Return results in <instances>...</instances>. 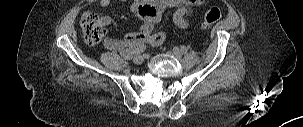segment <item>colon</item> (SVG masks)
<instances>
[{
  "mask_svg": "<svg viewBox=\"0 0 303 127\" xmlns=\"http://www.w3.org/2000/svg\"><path fill=\"white\" fill-rule=\"evenodd\" d=\"M147 17V16H146ZM221 18V11L217 7L210 8L204 15L202 26L208 28ZM80 25L84 39L89 45H96L104 37V29L96 14L87 12L81 16Z\"/></svg>",
  "mask_w": 303,
  "mask_h": 127,
  "instance_id": "5ec220e1",
  "label": "colon"
}]
</instances>
